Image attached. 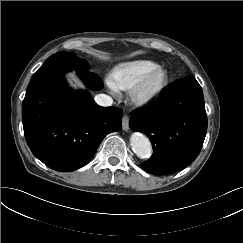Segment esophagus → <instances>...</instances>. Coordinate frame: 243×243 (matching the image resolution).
<instances>
[{"label": "esophagus", "mask_w": 243, "mask_h": 243, "mask_svg": "<svg viewBox=\"0 0 243 243\" xmlns=\"http://www.w3.org/2000/svg\"><path fill=\"white\" fill-rule=\"evenodd\" d=\"M122 128L124 131H128L129 129V116L126 114L122 117Z\"/></svg>", "instance_id": "esophagus-1"}]
</instances>
